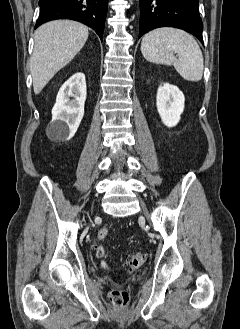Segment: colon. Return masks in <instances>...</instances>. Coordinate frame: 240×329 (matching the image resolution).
Returning <instances> with one entry per match:
<instances>
[{"mask_svg": "<svg viewBox=\"0 0 240 329\" xmlns=\"http://www.w3.org/2000/svg\"><path fill=\"white\" fill-rule=\"evenodd\" d=\"M107 234L108 229L102 228L98 233V237L100 239H104ZM98 255H103L102 248L98 249ZM144 261L145 254L142 252H135L124 257V264L130 272L136 271L144 263ZM109 297L115 306L121 308L127 307L130 302V295L126 290H112L109 294Z\"/></svg>", "mask_w": 240, "mask_h": 329, "instance_id": "1", "label": "colon"}]
</instances>
